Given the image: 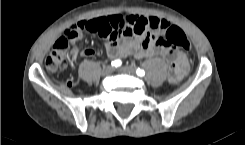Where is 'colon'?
Listing matches in <instances>:
<instances>
[{"instance_id":"1","label":"colon","mask_w":245,"mask_h":145,"mask_svg":"<svg viewBox=\"0 0 245 145\" xmlns=\"http://www.w3.org/2000/svg\"><path fill=\"white\" fill-rule=\"evenodd\" d=\"M90 26L81 28V30L89 31ZM76 35V30L68 28L50 49L46 62V71L50 74L59 72L65 65L68 56V40ZM147 38L152 37L153 41L158 46H174L185 50L191 49V42L184 32L177 26L169 27L166 32L160 35H150L147 33Z\"/></svg>"}]
</instances>
